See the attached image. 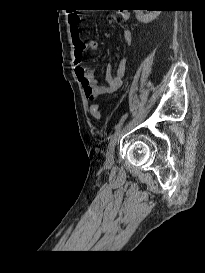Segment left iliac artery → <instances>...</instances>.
Masks as SVG:
<instances>
[{"label": "left iliac artery", "mask_w": 205, "mask_h": 273, "mask_svg": "<svg viewBox=\"0 0 205 273\" xmlns=\"http://www.w3.org/2000/svg\"><path fill=\"white\" fill-rule=\"evenodd\" d=\"M128 114H124L122 116V118L120 119L119 123L115 126V129H117L118 127H120V125H122V123L125 121V119L127 118Z\"/></svg>", "instance_id": "left-iliac-artery-1"}]
</instances>
